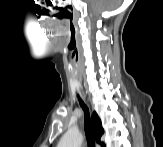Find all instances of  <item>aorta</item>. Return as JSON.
<instances>
[{
    "instance_id": "aorta-1",
    "label": "aorta",
    "mask_w": 163,
    "mask_h": 147,
    "mask_svg": "<svg viewBox=\"0 0 163 147\" xmlns=\"http://www.w3.org/2000/svg\"><path fill=\"white\" fill-rule=\"evenodd\" d=\"M83 142V136L75 128L69 129L59 142V147H80Z\"/></svg>"
}]
</instances>
